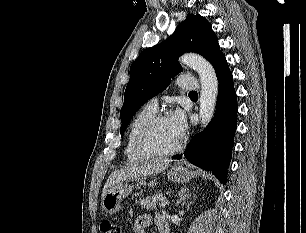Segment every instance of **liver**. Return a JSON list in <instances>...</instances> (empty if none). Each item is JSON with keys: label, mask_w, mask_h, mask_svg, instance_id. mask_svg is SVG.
Here are the masks:
<instances>
[{"label": "liver", "mask_w": 306, "mask_h": 233, "mask_svg": "<svg viewBox=\"0 0 306 233\" xmlns=\"http://www.w3.org/2000/svg\"><path fill=\"white\" fill-rule=\"evenodd\" d=\"M170 164V160L164 159L152 164L134 165L112 172L107 179L103 191L102 199L105 194L116 184L127 180L139 179L165 170Z\"/></svg>", "instance_id": "liver-1"}]
</instances>
